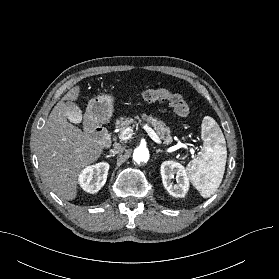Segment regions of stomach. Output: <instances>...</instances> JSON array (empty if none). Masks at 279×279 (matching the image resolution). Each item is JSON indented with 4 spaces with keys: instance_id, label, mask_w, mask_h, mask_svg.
Returning <instances> with one entry per match:
<instances>
[{
    "instance_id": "obj_1",
    "label": "stomach",
    "mask_w": 279,
    "mask_h": 279,
    "mask_svg": "<svg viewBox=\"0 0 279 279\" xmlns=\"http://www.w3.org/2000/svg\"><path fill=\"white\" fill-rule=\"evenodd\" d=\"M114 100L112 94H102L92 98L86 110L87 122L100 124L108 121L113 113Z\"/></svg>"
}]
</instances>
